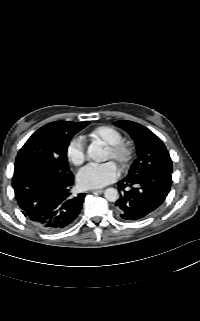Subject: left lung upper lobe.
Wrapping results in <instances>:
<instances>
[{"label":"left lung upper lobe","mask_w":200,"mask_h":321,"mask_svg":"<svg viewBox=\"0 0 200 321\" xmlns=\"http://www.w3.org/2000/svg\"><path fill=\"white\" fill-rule=\"evenodd\" d=\"M114 125L127 131L134 139L137 159L132 164L128 175L146 171H167L172 173V161L163 142L141 124L119 120Z\"/></svg>","instance_id":"obj_1"}]
</instances>
